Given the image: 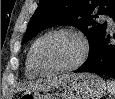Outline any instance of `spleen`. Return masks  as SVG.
<instances>
[{"label": "spleen", "mask_w": 115, "mask_h": 99, "mask_svg": "<svg viewBox=\"0 0 115 99\" xmlns=\"http://www.w3.org/2000/svg\"><path fill=\"white\" fill-rule=\"evenodd\" d=\"M107 88L112 96V99H115V81L107 80Z\"/></svg>", "instance_id": "1"}]
</instances>
